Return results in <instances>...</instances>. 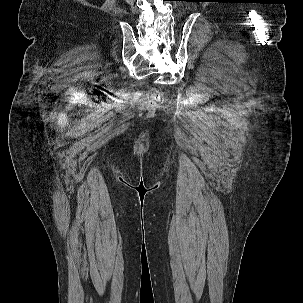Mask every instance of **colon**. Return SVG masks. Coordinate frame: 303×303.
Returning a JSON list of instances; mask_svg holds the SVG:
<instances>
[{
    "label": "colon",
    "mask_w": 303,
    "mask_h": 303,
    "mask_svg": "<svg viewBox=\"0 0 303 303\" xmlns=\"http://www.w3.org/2000/svg\"><path fill=\"white\" fill-rule=\"evenodd\" d=\"M149 99L152 105H157L163 102V95L157 90H153L149 93Z\"/></svg>",
    "instance_id": "obj_1"
}]
</instances>
